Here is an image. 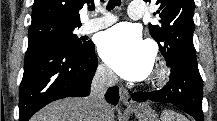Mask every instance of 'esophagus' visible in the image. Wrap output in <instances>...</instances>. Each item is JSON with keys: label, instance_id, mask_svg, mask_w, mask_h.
Masks as SVG:
<instances>
[{"label": "esophagus", "instance_id": "34e87169", "mask_svg": "<svg viewBox=\"0 0 217 121\" xmlns=\"http://www.w3.org/2000/svg\"><path fill=\"white\" fill-rule=\"evenodd\" d=\"M119 94H120V100L122 101L124 105L126 106L134 105V102L126 88L121 86L119 89Z\"/></svg>", "mask_w": 217, "mask_h": 121}]
</instances>
